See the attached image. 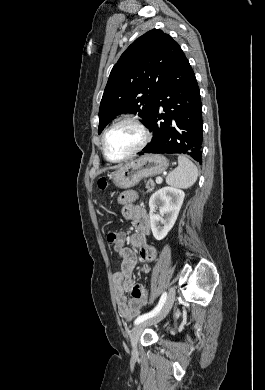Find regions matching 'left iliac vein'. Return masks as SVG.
I'll return each instance as SVG.
<instances>
[{"instance_id": "left-iliac-vein-1", "label": "left iliac vein", "mask_w": 265, "mask_h": 390, "mask_svg": "<svg viewBox=\"0 0 265 390\" xmlns=\"http://www.w3.org/2000/svg\"><path fill=\"white\" fill-rule=\"evenodd\" d=\"M174 300H175V289L172 287L170 289V291L166 297V300H165L162 308L160 309V311L156 315L151 317L150 319L137 324L133 328L132 333L130 335V341H131V346H132L134 353H137L138 341H139L140 335L143 332V330L146 327L153 325V324H156L159 321H161L163 318H165L166 315L168 314V312L170 311Z\"/></svg>"}]
</instances>
